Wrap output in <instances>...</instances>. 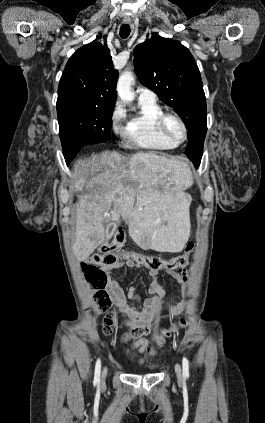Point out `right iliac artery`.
I'll use <instances>...</instances> for the list:
<instances>
[{
    "mask_svg": "<svg viewBox=\"0 0 265 423\" xmlns=\"http://www.w3.org/2000/svg\"><path fill=\"white\" fill-rule=\"evenodd\" d=\"M100 371H101V362L100 359L97 360L95 366V375H94V384H99L100 382Z\"/></svg>",
    "mask_w": 265,
    "mask_h": 423,
    "instance_id": "1",
    "label": "right iliac artery"
}]
</instances>
